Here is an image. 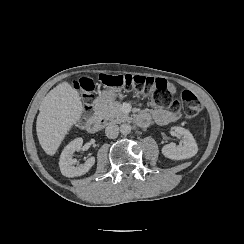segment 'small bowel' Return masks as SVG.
I'll use <instances>...</instances> for the list:
<instances>
[{
    "instance_id": "obj_1",
    "label": "small bowel",
    "mask_w": 244,
    "mask_h": 244,
    "mask_svg": "<svg viewBox=\"0 0 244 244\" xmlns=\"http://www.w3.org/2000/svg\"><path fill=\"white\" fill-rule=\"evenodd\" d=\"M173 91L174 88L171 87ZM142 116L149 119L152 117L154 121L159 125H167L178 121L181 118V112H176L165 108H151L142 113Z\"/></svg>"
}]
</instances>
